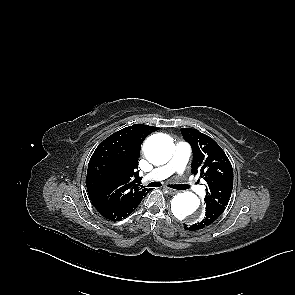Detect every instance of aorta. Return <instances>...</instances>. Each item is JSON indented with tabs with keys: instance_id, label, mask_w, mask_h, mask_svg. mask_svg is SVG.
I'll list each match as a JSON object with an SVG mask.
<instances>
[{
	"instance_id": "obj_1",
	"label": "aorta",
	"mask_w": 295,
	"mask_h": 295,
	"mask_svg": "<svg viewBox=\"0 0 295 295\" xmlns=\"http://www.w3.org/2000/svg\"><path fill=\"white\" fill-rule=\"evenodd\" d=\"M174 149L172 139L165 134H154L144 144V154L147 160L154 165L167 163ZM200 200L192 192H181L175 195L171 201L173 215L180 221L189 224L197 223L201 215L199 213Z\"/></svg>"
}]
</instances>
